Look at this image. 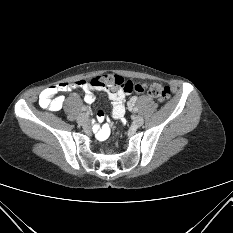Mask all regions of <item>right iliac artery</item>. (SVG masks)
Instances as JSON below:
<instances>
[{
  "mask_svg": "<svg viewBox=\"0 0 233 233\" xmlns=\"http://www.w3.org/2000/svg\"><path fill=\"white\" fill-rule=\"evenodd\" d=\"M87 110V108L86 107H82V111H86ZM88 113V112H87Z\"/></svg>",
  "mask_w": 233,
  "mask_h": 233,
  "instance_id": "1",
  "label": "right iliac artery"
}]
</instances>
